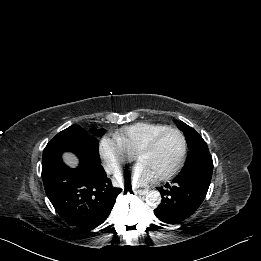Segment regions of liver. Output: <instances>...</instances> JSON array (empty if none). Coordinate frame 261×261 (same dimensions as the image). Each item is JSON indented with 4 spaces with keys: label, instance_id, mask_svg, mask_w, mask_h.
<instances>
[{
    "label": "liver",
    "instance_id": "6515ba94",
    "mask_svg": "<svg viewBox=\"0 0 261 261\" xmlns=\"http://www.w3.org/2000/svg\"><path fill=\"white\" fill-rule=\"evenodd\" d=\"M64 162L70 167H75L78 164V159L75 155L70 152L64 153L63 155Z\"/></svg>",
    "mask_w": 261,
    "mask_h": 261
}]
</instances>
